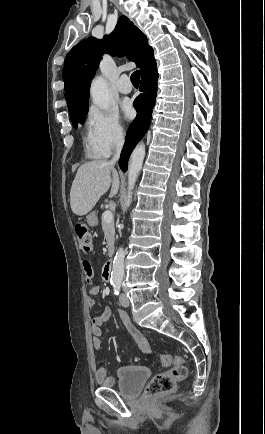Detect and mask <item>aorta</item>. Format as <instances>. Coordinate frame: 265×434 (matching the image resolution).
<instances>
[{
  "label": "aorta",
  "instance_id": "762f6f07",
  "mask_svg": "<svg viewBox=\"0 0 265 434\" xmlns=\"http://www.w3.org/2000/svg\"><path fill=\"white\" fill-rule=\"evenodd\" d=\"M90 96L93 104L98 106L100 110H107L110 104L109 92L107 84L102 76L94 78L91 88ZM145 158V146L144 144H138L135 150H133L130 158V164L128 166V194L125 198V206L129 208L132 202V192L135 182L139 176L140 170H142L143 160ZM124 260L125 252L123 248H118L116 256L113 260L111 282H122L124 278Z\"/></svg>",
  "mask_w": 265,
  "mask_h": 434
}]
</instances>
